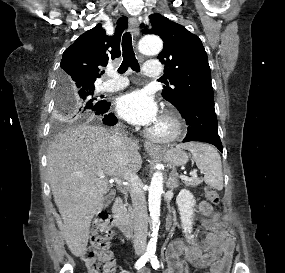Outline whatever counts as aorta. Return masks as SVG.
Masks as SVG:
<instances>
[{
    "instance_id": "1",
    "label": "aorta",
    "mask_w": 285,
    "mask_h": 273,
    "mask_svg": "<svg viewBox=\"0 0 285 273\" xmlns=\"http://www.w3.org/2000/svg\"><path fill=\"white\" fill-rule=\"evenodd\" d=\"M162 49V41L157 36H146L139 42V51L144 55H156ZM163 193V174L159 170L153 173L149 186V211L152 219V235L147 246V254L152 255L156 251V242L159 230V216L161 195Z\"/></svg>"
}]
</instances>
